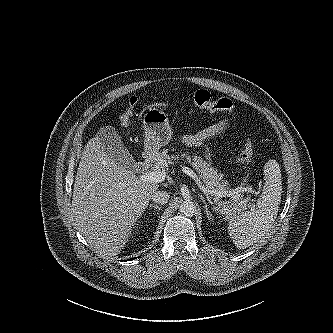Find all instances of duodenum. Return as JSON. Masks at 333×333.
<instances>
[{
    "mask_svg": "<svg viewBox=\"0 0 333 333\" xmlns=\"http://www.w3.org/2000/svg\"><path fill=\"white\" fill-rule=\"evenodd\" d=\"M154 161V154L152 152H146L140 161L138 168L142 171L148 169Z\"/></svg>",
    "mask_w": 333,
    "mask_h": 333,
    "instance_id": "410a0bca",
    "label": "duodenum"
}]
</instances>
